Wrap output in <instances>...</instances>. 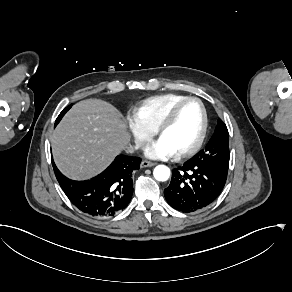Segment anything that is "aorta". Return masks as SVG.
Segmentation results:
<instances>
[{
  "label": "aorta",
  "instance_id": "762f6f07",
  "mask_svg": "<svg viewBox=\"0 0 292 292\" xmlns=\"http://www.w3.org/2000/svg\"><path fill=\"white\" fill-rule=\"evenodd\" d=\"M153 175L158 181H166L170 176V169L165 165H158L155 167Z\"/></svg>",
  "mask_w": 292,
  "mask_h": 292
}]
</instances>
